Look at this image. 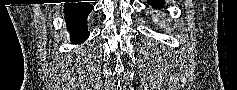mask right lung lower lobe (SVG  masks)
I'll return each instance as SVG.
<instances>
[{"label": "right lung lower lobe", "mask_w": 237, "mask_h": 90, "mask_svg": "<svg viewBox=\"0 0 237 90\" xmlns=\"http://www.w3.org/2000/svg\"><path fill=\"white\" fill-rule=\"evenodd\" d=\"M91 11L92 5L87 2L64 4L65 21L73 44L82 43L88 38L87 17Z\"/></svg>", "instance_id": "1"}]
</instances>
